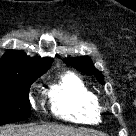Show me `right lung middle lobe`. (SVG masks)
<instances>
[{"label":"right lung middle lobe","mask_w":136,"mask_h":136,"mask_svg":"<svg viewBox=\"0 0 136 136\" xmlns=\"http://www.w3.org/2000/svg\"><path fill=\"white\" fill-rule=\"evenodd\" d=\"M41 75L0 78V125L30 117L29 88Z\"/></svg>","instance_id":"1"}]
</instances>
